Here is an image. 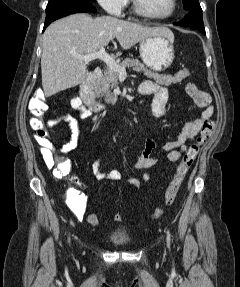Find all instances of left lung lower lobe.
I'll return each mask as SVG.
<instances>
[{
	"instance_id": "obj_1",
	"label": "left lung lower lobe",
	"mask_w": 240,
	"mask_h": 287,
	"mask_svg": "<svg viewBox=\"0 0 240 287\" xmlns=\"http://www.w3.org/2000/svg\"><path fill=\"white\" fill-rule=\"evenodd\" d=\"M188 10H190V13L187 16H185V18L183 20L176 23V25H181L184 27L188 26L190 28H193V29L200 31L202 34L205 35L206 33H205L204 24H203L201 7L200 6L194 7V8H190Z\"/></svg>"
}]
</instances>
